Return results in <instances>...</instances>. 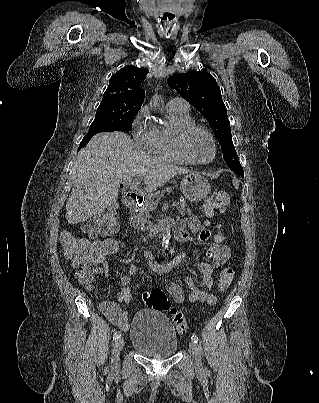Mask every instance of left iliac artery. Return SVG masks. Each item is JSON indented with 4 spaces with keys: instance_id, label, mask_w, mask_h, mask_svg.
<instances>
[{
    "instance_id": "1",
    "label": "left iliac artery",
    "mask_w": 319,
    "mask_h": 403,
    "mask_svg": "<svg viewBox=\"0 0 319 403\" xmlns=\"http://www.w3.org/2000/svg\"><path fill=\"white\" fill-rule=\"evenodd\" d=\"M191 339H192L195 343H198V342H199V339H198V337H197L196 335H192Z\"/></svg>"
}]
</instances>
